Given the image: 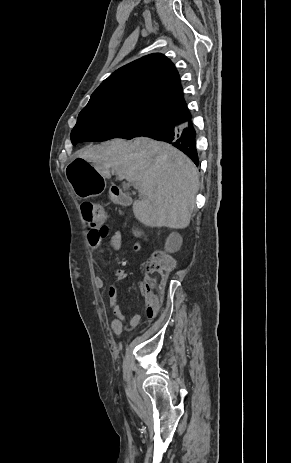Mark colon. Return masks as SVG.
I'll return each mask as SVG.
<instances>
[{"label":"colon","instance_id":"colon-1","mask_svg":"<svg viewBox=\"0 0 291 463\" xmlns=\"http://www.w3.org/2000/svg\"><path fill=\"white\" fill-rule=\"evenodd\" d=\"M81 209L90 230H100L104 227L107 213L102 205L86 201ZM173 266V259L162 251H155L146 261L142 292L145 296L146 313L151 317L157 313L167 274Z\"/></svg>","mask_w":291,"mask_h":463}]
</instances>
